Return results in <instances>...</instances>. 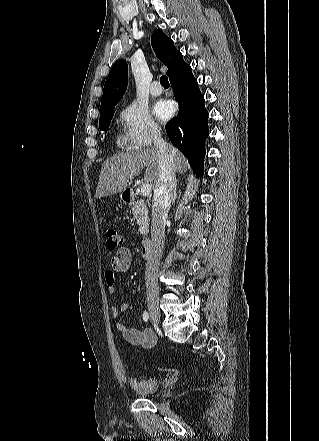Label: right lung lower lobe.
Masks as SVG:
<instances>
[{
    "label": "right lung lower lobe",
    "mask_w": 319,
    "mask_h": 441,
    "mask_svg": "<svg viewBox=\"0 0 319 441\" xmlns=\"http://www.w3.org/2000/svg\"><path fill=\"white\" fill-rule=\"evenodd\" d=\"M170 83L179 104V112L166 125V133L171 143L188 159L193 171L201 177L205 140L209 134L204 96L189 65L171 76Z\"/></svg>",
    "instance_id": "right-lung-lower-lobe-1"
}]
</instances>
